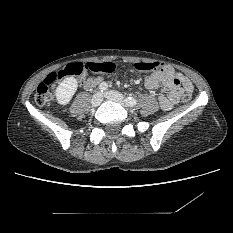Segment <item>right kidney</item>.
Masks as SVG:
<instances>
[{
  "label": "right kidney",
  "mask_w": 233,
  "mask_h": 233,
  "mask_svg": "<svg viewBox=\"0 0 233 233\" xmlns=\"http://www.w3.org/2000/svg\"><path fill=\"white\" fill-rule=\"evenodd\" d=\"M77 87L76 78L66 77L55 90L57 103L62 106L67 105L75 94Z\"/></svg>",
  "instance_id": "1"
}]
</instances>
